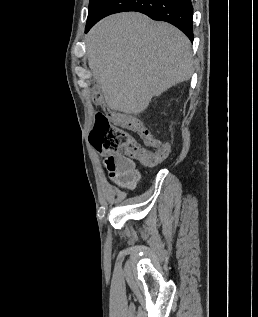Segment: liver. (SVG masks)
<instances>
[{"instance_id": "1", "label": "liver", "mask_w": 258, "mask_h": 317, "mask_svg": "<svg viewBox=\"0 0 258 317\" xmlns=\"http://www.w3.org/2000/svg\"><path fill=\"white\" fill-rule=\"evenodd\" d=\"M88 64L113 110L138 114L193 72L191 42L168 22L141 12H118L86 34Z\"/></svg>"}]
</instances>
